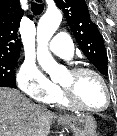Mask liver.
Returning <instances> with one entry per match:
<instances>
[{"instance_id": "liver-1", "label": "liver", "mask_w": 117, "mask_h": 136, "mask_svg": "<svg viewBox=\"0 0 117 136\" xmlns=\"http://www.w3.org/2000/svg\"><path fill=\"white\" fill-rule=\"evenodd\" d=\"M54 118L18 90L0 88V136H47Z\"/></svg>"}]
</instances>
